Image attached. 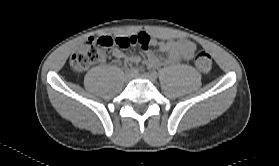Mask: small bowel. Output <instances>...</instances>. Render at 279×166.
Returning a JSON list of instances; mask_svg holds the SVG:
<instances>
[{
	"label": "small bowel",
	"instance_id": "c3829d8e",
	"mask_svg": "<svg viewBox=\"0 0 279 166\" xmlns=\"http://www.w3.org/2000/svg\"><path fill=\"white\" fill-rule=\"evenodd\" d=\"M144 36L147 38V43L140 45L144 51L145 57L141 54H134L132 56H126L120 49H114L112 52L113 57L117 61H127L130 63H140L145 60L148 68H158L163 64L157 55L149 49L150 46H156L162 53L167 54L168 63H175L180 60L190 59L192 52L195 48L194 42L187 39L170 40V41H157L151 38L147 33L141 32L130 36V38H138Z\"/></svg>",
	"mask_w": 279,
	"mask_h": 166
}]
</instances>
